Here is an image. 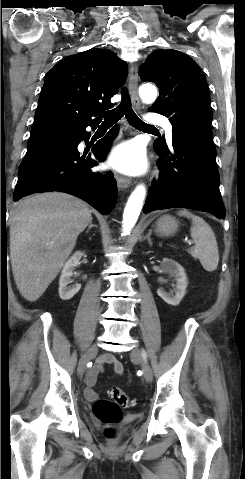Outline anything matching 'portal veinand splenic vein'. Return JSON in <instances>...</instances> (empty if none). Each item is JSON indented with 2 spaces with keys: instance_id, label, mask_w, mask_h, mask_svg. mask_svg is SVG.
Segmentation results:
<instances>
[{
  "instance_id": "18ae733b",
  "label": "portal vein and splenic vein",
  "mask_w": 245,
  "mask_h": 479,
  "mask_svg": "<svg viewBox=\"0 0 245 479\" xmlns=\"http://www.w3.org/2000/svg\"><path fill=\"white\" fill-rule=\"evenodd\" d=\"M188 243H189L190 245L192 244V242H191V241H188Z\"/></svg>"
}]
</instances>
